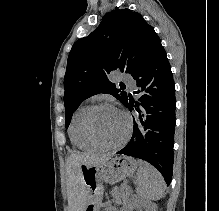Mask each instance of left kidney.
Returning a JSON list of instances; mask_svg holds the SVG:
<instances>
[{
	"mask_svg": "<svg viewBox=\"0 0 219 211\" xmlns=\"http://www.w3.org/2000/svg\"><path fill=\"white\" fill-rule=\"evenodd\" d=\"M132 207H135L138 211H142V209H145V211H153L152 207L146 205L145 201H141V199H133Z\"/></svg>",
	"mask_w": 219,
	"mask_h": 211,
	"instance_id": "obj_1",
	"label": "left kidney"
}]
</instances>
